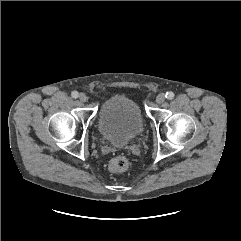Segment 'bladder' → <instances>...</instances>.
<instances>
[{"label":"bladder","mask_w":241,"mask_h":241,"mask_svg":"<svg viewBox=\"0 0 241 241\" xmlns=\"http://www.w3.org/2000/svg\"><path fill=\"white\" fill-rule=\"evenodd\" d=\"M97 126L106 141L123 146L143 132L144 122L134 100L126 95H114L100 106Z\"/></svg>","instance_id":"bladder-1"}]
</instances>
